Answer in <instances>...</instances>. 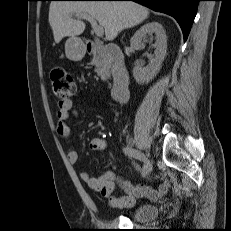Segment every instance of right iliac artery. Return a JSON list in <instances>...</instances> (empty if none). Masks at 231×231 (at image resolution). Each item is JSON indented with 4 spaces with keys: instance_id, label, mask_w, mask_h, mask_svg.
Wrapping results in <instances>:
<instances>
[{
    "instance_id": "82829eb1",
    "label": "right iliac artery",
    "mask_w": 231,
    "mask_h": 231,
    "mask_svg": "<svg viewBox=\"0 0 231 231\" xmlns=\"http://www.w3.org/2000/svg\"><path fill=\"white\" fill-rule=\"evenodd\" d=\"M123 152L125 155H128L129 157H133L135 159H138V160L144 162V166L142 169V176L143 177H146L150 174L152 169L149 168L148 165L146 164L147 158L143 153H141L140 151H138L136 149H133L132 147H128V146L123 148Z\"/></svg>"
}]
</instances>
